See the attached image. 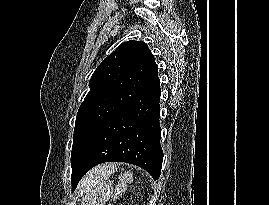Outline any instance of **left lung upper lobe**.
I'll return each instance as SVG.
<instances>
[{
    "label": "left lung upper lobe",
    "instance_id": "1",
    "mask_svg": "<svg viewBox=\"0 0 269 205\" xmlns=\"http://www.w3.org/2000/svg\"><path fill=\"white\" fill-rule=\"evenodd\" d=\"M158 77V66L146 43L130 40L113 51L93 73L90 91L75 122L72 171L97 132Z\"/></svg>",
    "mask_w": 269,
    "mask_h": 205
}]
</instances>
